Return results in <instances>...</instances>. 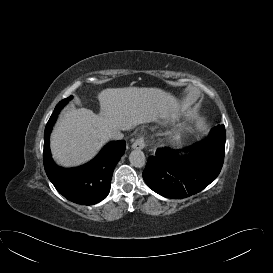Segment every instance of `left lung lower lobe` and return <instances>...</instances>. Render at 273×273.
I'll return each mask as SVG.
<instances>
[{"instance_id":"obj_1","label":"left lung lower lobe","mask_w":273,"mask_h":273,"mask_svg":"<svg viewBox=\"0 0 273 273\" xmlns=\"http://www.w3.org/2000/svg\"><path fill=\"white\" fill-rule=\"evenodd\" d=\"M183 152L188 155L164 147L148 158L143 178L153 191L167 198H186L203 190L219 175L225 147L204 141Z\"/></svg>"}]
</instances>
